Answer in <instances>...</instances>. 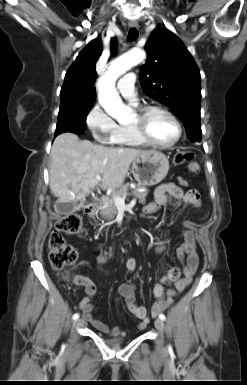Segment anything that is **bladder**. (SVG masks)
<instances>
[{
    "label": "bladder",
    "instance_id": "obj_1",
    "mask_svg": "<svg viewBox=\"0 0 247 385\" xmlns=\"http://www.w3.org/2000/svg\"><path fill=\"white\" fill-rule=\"evenodd\" d=\"M120 341L119 340H115L114 343H119Z\"/></svg>",
    "mask_w": 247,
    "mask_h": 385
}]
</instances>
